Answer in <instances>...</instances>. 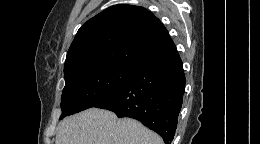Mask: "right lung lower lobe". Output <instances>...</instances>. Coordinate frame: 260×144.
Returning a JSON list of instances; mask_svg holds the SVG:
<instances>
[{
	"label": "right lung lower lobe",
	"mask_w": 260,
	"mask_h": 144,
	"mask_svg": "<svg viewBox=\"0 0 260 144\" xmlns=\"http://www.w3.org/2000/svg\"><path fill=\"white\" fill-rule=\"evenodd\" d=\"M184 88L182 61L175 50L138 66L116 92L94 107L135 118L171 144Z\"/></svg>",
	"instance_id": "1"
}]
</instances>
